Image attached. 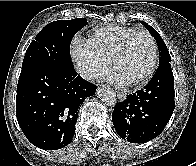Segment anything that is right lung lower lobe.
Returning <instances> with one entry per match:
<instances>
[{
	"label": "right lung lower lobe",
	"mask_w": 196,
	"mask_h": 166,
	"mask_svg": "<svg viewBox=\"0 0 196 166\" xmlns=\"http://www.w3.org/2000/svg\"><path fill=\"white\" fill-rule=\"evenodd\" d=\"M96 88L74 67L51 62L22 67L16 96L19 126L36 147L63 148L75 134L79 106Z\"/></svg>",
	"instance_id": "98d812e1"
}]
</instances>
